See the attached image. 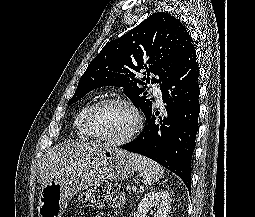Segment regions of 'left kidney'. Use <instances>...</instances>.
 I'll list each match as a JSON object with an SVG mask.
<instances>
[{"instance_id": "1", "label": "left kidney", "mask_w": 255, "mask_h": 217, "mask_svg": "<svg viewBox=\"0 0 255 217\" xmlns=\"http://www.w3.org/2000/svg\"><path fill=\"white\" fill-rule=\"evenodd\" d=\"M155 208L154 217H168L171 211V199L169 193L164 190L158 192H149L141 199L138 210L134 217H147L149 208Z\"/></svg>"}]
</instances>
